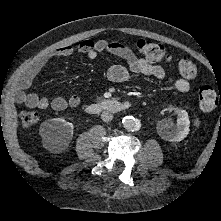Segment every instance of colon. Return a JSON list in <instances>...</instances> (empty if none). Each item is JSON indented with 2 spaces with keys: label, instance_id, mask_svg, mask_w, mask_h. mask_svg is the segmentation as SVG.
Segmentation results:
<instances>
[{
  "label": "colon",
  "instance_id": "obj_1",
  "mask_svg": "<svg viewBox=\"0 0 221 221\" xmlns=\"http://www.w3.org/2000/svg\"><path fill=\"white\" fill-rule=\"evenodd\" d=\"M137 49L150 62L170 61L171 57L159 43L139 40ZM178 71L185 79H194L198 75L197 65L190 59H181L178 63ZM221 103V97L210 86H203L199 90V106L202 111H211ZM39 120L36 111L26 110L20 115V122L24 128L34 127Z\"/></svg>",
  "mask_w": 221,
  "mask_h": 221
}]
</instances>
